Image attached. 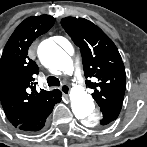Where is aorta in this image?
<instances>
[{
	"instance_id": "aorta-1",
	"label": "aorta",
	"mask_w": 147,
	"mask_h": 147,
	"mask_svg": "<svg viewBox=\"0 0 147 147\" xmlns=\"http://www.w3.org/2000/svg\"><path fill=\"white\" fill-rule=\"evenodd\" d=\"M64 44L72 49L71 43L63 39ZM41 62L52 71L70 73L73 70L71 57L54 41L45 40L38 48ZM71 109L75 117L87 126L96 125L101 119V114L96 110L94 100L83 87L74 86L70 94Z\"/></svg>"
}]
</instances>
